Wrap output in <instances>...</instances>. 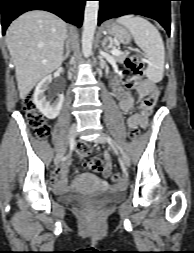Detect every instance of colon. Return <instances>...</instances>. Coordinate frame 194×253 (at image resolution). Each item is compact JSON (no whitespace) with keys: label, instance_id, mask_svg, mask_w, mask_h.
I'll list each match as a JSON object with an SVG mask.
<instances>
[{"label":"colon","instance_id":"5ec220e1","mask_svg":"<svg viewBox=\"0 0 194 253\" xmlns=\"http://www.w3.org/2000/svg\"><path fill=\"white\" fill-rule=\"evenodd\" d=\"M126 68L132 72L135 77H140L143 74V62L139 55H132L125 60ZM157 92L152 96L145 98L138 106V113L149 114L153 109L157 100ZM22 108L26 114V119L29 125L34 129L38 138H46L49 134V125L47 124L44 116L36 109L33 98L31 95L27 96L22 102ZM129 135L131 138H136L138 135L137 128H129ZM76 152L80 158L86 157L89 152V146L84 143H78ZM87 168L92 172H103V161L98 157L91 158L87 164ZM109 177L113 183H119L123 177L119 172L110 173Z\"/></svg>","mask_w":194,"mask_h":253}]
</instances>
